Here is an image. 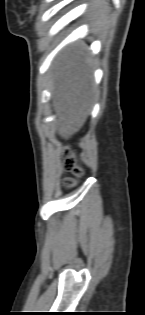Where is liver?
I'll use <instances>...</instances> for the list:
<instances>
[{
	"label": "liver",
	"mask_w": 145,
	"mask_h": 315,
	"mask_svg": "<svg viewBox=\"0 0 145 315\" xmlns=\"http://www.w3.org/2000/svg\"><path fill=\"white\" fill-rule=\"evenodd\" d=\"M93 71L86 47L76 43L55 62L50 89L57 115V133L69 139L85 124L94 91Z\"/></svg>",
	"instance_id": "obj_1"
}]
</instances>
